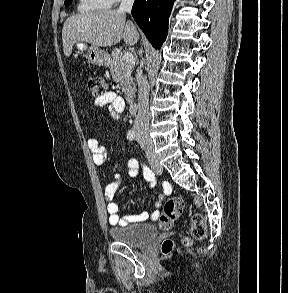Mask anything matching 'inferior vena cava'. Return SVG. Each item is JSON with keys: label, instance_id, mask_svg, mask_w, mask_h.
<instances>
[{"label": "inferior vena cava", "instance_id": "1", "mask_svg": "<svg viewBox=\"0 0 288 293\" xmlns=\"http://www.w3.org/2000/svg\"><path fill=\"white\" fill-rule=\"evenodd\" d=\"M134 0H121L118 12H131ZM138 83V112L135 119V132L138 137L149 140V84L142 70L137 72Z\"/></svg>", "mask_w": 288, "mask_h": 293}]
</instances>
